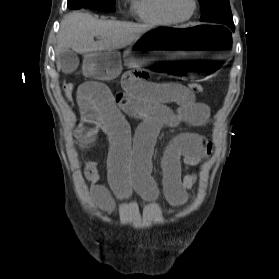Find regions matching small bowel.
<instances>
[{"label":"small bowel","instance_id":"small-bowel-1","mask_svg":"<svg viewBox=\"0 0 279 279\" xmlns=\"http://www.w3.org/2000/svg\"><path fill=\"white\" fill-rule=\"evenodd\" d=\"M122 88L114 93L103 83L87 82L77 91L81 118L75 137L79 146L84 150L94 148L100 134L110 142L108 184L100 182L96 162L88 161L83 171L91 184L94 203L105 211L115 207L111 191L120 198L135 190L148 199H156L159 190L151 176V159L160 130L180 124L202 126L210 116L209 107L196 101L186 86L151 81L149 72L143 69L126 71ZM125 114L141 121L134 136ZM211 152L210 142L197 133H182L169 143L161 163L163 191L169 204L180 206L187 201L188 190L198 181V172L190 168Z\"/></svg>","mask_w":279,"mask_h":279}]
</instances>
